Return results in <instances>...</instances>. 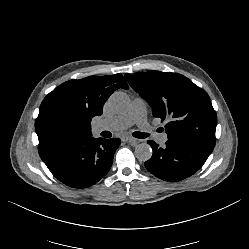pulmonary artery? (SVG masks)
I'll return each instance as SVG.
<instances>
[{
	"label": "pulmonary artery",
	"mask_w": 249,
	"mask_h": 249,
	"mask_svg": "<svg viewBox=\"0 0 249 249\" xmlns=\"http://www.w3.org/2000/svg\"><path fill=\"white\" fill-rule=\"evenodd\" d=\"M134 124L144 131L153 132V128L147 121L146 103L141 97H136L133 99L131 107L126 113L114 116L112 118L103 119L94 124L92 126V132L96 134L106 130H125ZM154 136L160 145L165 146V143L168 140L167 133H157Z\"/></svg>",
	"instance_id": "obj_1"
}]
</instances>
